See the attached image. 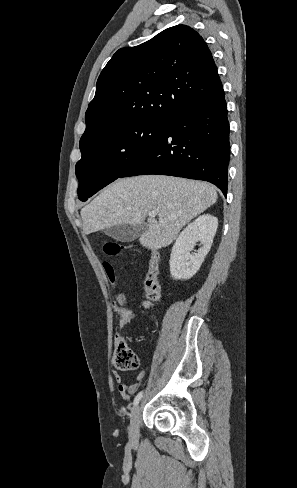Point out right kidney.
I'll list each match as a JSON object with an SVG mask.
<instances>
[{
	"label": "right kidney",
	"mask_w": 297,
	"mask_h": 488,
	"mask_svg": "<svg viewBox=\"0 0 297 488\" xmlns=\"http://www.w3.org/2000/svg\"><path fill=\"white\" fill-rule=\"evenodd\" d=\"M217 227L218 219L204 214L184 228L173 245L170 256V273L173 279L185 280L196 274L211 249ZM197 242L202 247L191 254Z\"/></svg>",
	"instance_id": "right-kidney-1"
}]
</instances>
